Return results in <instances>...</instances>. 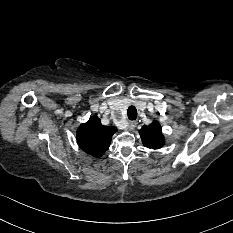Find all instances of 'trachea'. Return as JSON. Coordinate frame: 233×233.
Returning <instances> with one entry per match:
<instances>
[{
    "label": "trachea",
    "mask_w": 233,
    "mask_h": 233,
    "mask_svg": "<svg viewBox=\"0 0 233 233\" xmlns=\"http://www.w3.org/2000/svg\"><path fill=\"white\" fill-rule=\"evenodd\" d=\"M127 115L129 120H135L137 118V109L134 106H130Z\"/></svg>",
    "instance_id": "trachea-1"
}]
</instances>
